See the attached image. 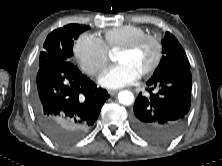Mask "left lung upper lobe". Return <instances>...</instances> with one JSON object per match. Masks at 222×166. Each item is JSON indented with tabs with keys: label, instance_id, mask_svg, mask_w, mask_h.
<instances>
[{
	"label": "left lung upper lobe",
	"instance_id": "5c2ea615",
	"mask_svg": "<svg viewBox=\"0 0 222 166\" xmlns=\"http://www.w3.org/2000/svg\"><path fill=\"white\" fill-rule=\"evenodd\" d=\"M163 56L153 76H160L177 70H190L186 53L178 40L169 32L162 40Z\"/></svg>",
	"mask_w": 222,
	"mask_h": 166
}]
</instances>
